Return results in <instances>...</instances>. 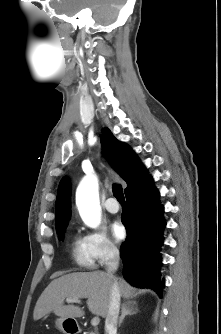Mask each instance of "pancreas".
Here are the masks:
<instances>
[{"mask_svg": "<svg viewBox=\"0 0 221 334\" xmlns=\"http://www.w3.org/2000/svg\"><path fill=\"white\" fill-rule=\"evenodd\" d=\"M89 334H95L94 332H90Z\"/></svg>", "mask_w": 221, "mask_h": 334, "instance_id": "cf45deb5", "label": "pancreas"}]
</instances>
